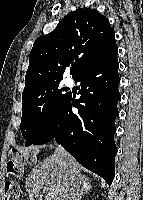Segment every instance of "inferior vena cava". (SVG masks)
I'll return each mask as SVG.
<instances>
[{"label": "inferior vena cava", "mask_w": 143, "mask_h": 200, "mask_svg": "<svg viewBox=\"0 0 143 200\" xmlns=\"http://www.w3.org/2000/svg\"><path fill=\"white\" fill-rule=\"evenodd\" d=\"M56 152L59 153V154H63L65 152V150L61 146H58L56 148Z\"/></svg>", "instance_id": "602c4592"}]
</instances>
